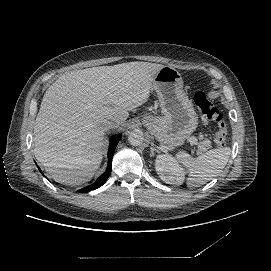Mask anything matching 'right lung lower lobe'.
I'll use <instances>...</instances> for the list:
<instances>
[{"instance_id": "obj_1", "label": "right lung lower lobe", "mask_w": 271, "mask_h": 271, "mask_svg": "<svg viewBox=\"0 0 271 271\" xmlns=\"http://www.w3.org/2000/svg\"><path fill=\"white\" fill-rule=\"evenodd\" d=\"M120 139H121V135H115L110 140V146H109V151H108V166H107L106 171L96 180V182L94 184L79 190V192L84 193V192H88V191L97 189L106 182V180L108 179V177L111 173V164H112V157L114 154V150H115ZM39 170H40V168H39ZM40 172L42 173L41 170H40Z\"/></svg>"}]
</instances>
